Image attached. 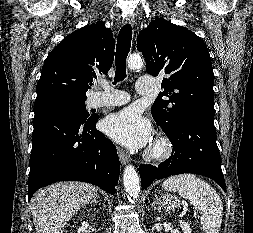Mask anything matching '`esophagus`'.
I'll return each instance as SVG.
<instances>
[{
	"label": "esophagus",
	"instance_id": "34e87169",
	"mask_svg": "<svg viewBox=\"0 0 253 233\" xmlns=\"http://www.w3.org/2000/svg\"><path fill=\"white\" fill-rule=\"evenodd\" d=\"M135 18L133 16H127L124 19V24L134 25ZM118 156L122 165H126L129 162V155L122 148H117Z\"/></svg>",
	"mask_w": 253,
	"mask_h": 233
}]
</instances>
